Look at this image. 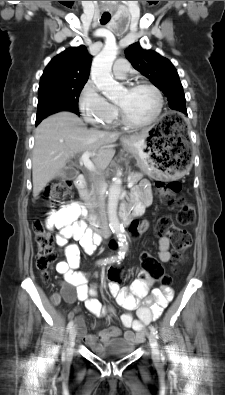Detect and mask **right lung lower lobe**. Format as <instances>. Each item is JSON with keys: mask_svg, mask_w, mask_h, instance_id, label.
Masks as SVG:
<instances>
[{"mask_svg": "<svg viewBox=\"0 0 225 395\" xmlns=\"http://www.w3.org/2000/svg\"><path fill=\"white\" fill-rule=\"evenodd\" d=\"M69 111H73L74 113H76L77 115H79V111H75V110H71V109H67ZM43 120V119H42ZM42 120H36V125H38Z\"/></svg>", "mask_w": 225, "mask_h": 395, "instance_id": "right-lung-lower-lobe-1", "label": "right lung lower lobe"}]
</instances>
